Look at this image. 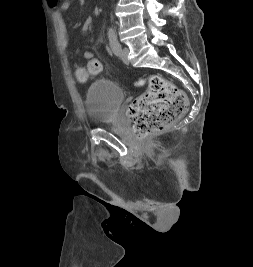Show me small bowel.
Returning <instances> with one entry per match:
<instances>
[{"instance_id": "c3829d8e", "label": "small bowel", "mask_w": 253, "mask_h": 267, "mask_svg": "<svg viewBox=\"0 0 253 267\" xmlns=\"http://www.w3.org/2000/svg\"><path fill=\"white\" fill-rule=\"evenodd\" d=\"M49 6L54 10V16L58 26L59 40L62 48L67 49L69 46V41L67 37V30L65 22L63 20V13L67 11L70 7V0H64L61 4H58V0H47ZM92 18H88L84 25L83 30L87 31L92 25Z\"/></svg>"}]
</instances>
